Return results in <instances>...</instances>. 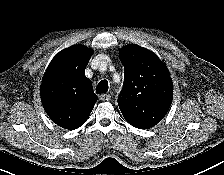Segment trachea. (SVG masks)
Masks as SVG:
<instances>
[{"label": "trachea", "mask_w": 224, "mask_h": 175, "mask_svg": "<svg viewBox=\"0 0 224 175\" xmlns=\"http://www.w3.org/2000/svg\"><path fill=\"white\" fill-rule=\"evenodd\" d=\"M108 91V81L102 80L96 87V92L99 94L106 93Z\"/></svg>", "instance_id": "3493384b"}]
</instances>
